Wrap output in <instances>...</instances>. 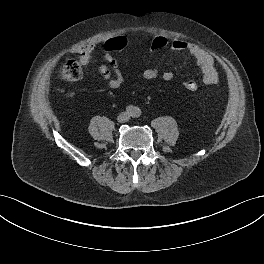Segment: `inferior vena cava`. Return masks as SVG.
<instances>
[{
	"instance_id": "inferior-vena-cava-1",
	"label": "inferior vena cava",
	"mask_w": 264,
	"mask_h": 264,
	"mask_svg": "<svg viewBox=\"0 0 264 264\" xmlns=\"http://www.w3.org/2000/svg\"><path fill=\"white\" fill-rule=\"evenodd\" d=\"M118 120L119 122H126L129 120V114L126 112H122L119 116H118Z\"/></svg>"
}]
</instances>
